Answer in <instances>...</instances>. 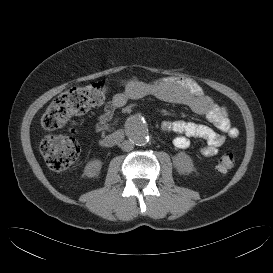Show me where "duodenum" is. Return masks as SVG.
Returning a JSON list of instances; mask_svg holds the SVG:
<instances>
[{"label":"duodenum","instance_id":"1","mask_svg":"<svg viewBox=\"0 0 273 273\" xmlns=\"http://www.w3.org/2000/svg\"><path fill=\"white\" fill-rule=\"evenodd\" d=\"M124 138L122 130L115 131L100 140V145L103 147H112L119 144Z\"/></svg>","mask_w":273,"mask_h":273}]
</instances>
